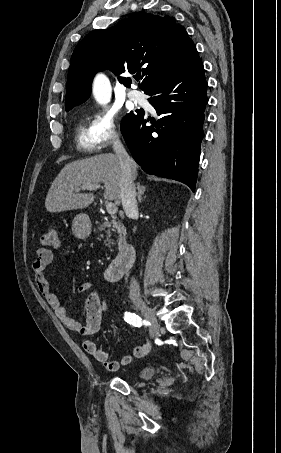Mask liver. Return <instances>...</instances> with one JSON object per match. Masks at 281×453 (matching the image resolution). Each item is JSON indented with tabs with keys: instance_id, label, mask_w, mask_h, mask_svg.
Instances as JSON below:
<instances>
[{
	"instance_id": "obj_1",
	"label": "liver",
	"mask_w": 281,
	"mask_h": 453,
	"mask_svg": "<svg viewBox=\"0 0 281 453\" xmlns=\"http://www.w3.org/2000/svg\"><path fill=\"white\" fill-rule=\"evenodd\" d=\"M138 174L137 164L131 162V176L135 180ZM104 184V198L121 202L120 160L117 154H95L89 158L68 162L53 180L45 198L48 212H62L73 208H86L94 198L93 192H74L85 184Z\"/></svg>"
}]
</instances>
